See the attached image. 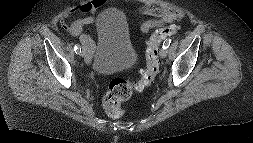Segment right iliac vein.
<instances>
[{"label":"right iliac vein","mask_w":253,"mask_h":143,"mask_svg":"<svg viewBox=\"0 0 253 143\" xmlns=\"http://www.w3.org/2000/svg\"><path fill=\"white\" fill-rule=\"evenodd\" d=\"M81 56L85 58V60H89L90 59V50L89 48L82 46V52H81Z\"/></svg>","instance_id":"1"}]
</instances>
